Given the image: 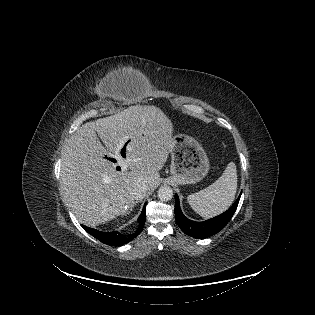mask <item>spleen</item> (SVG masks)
<instances>
[{
	"instance_id": "3e777b00",
	"label": "spleen",
	"mask_w": 315,
	"mask_h": 315,
	"mask_svg": "<svg viewBox=\"0 0 315 315\" xmlns=\"http://www.w3.org/2000/svg\"><path fill=\"white\" fill-rule=\"evenodd\" d=\"M237 190L236 165L230 162L213 184L187 197L192 209L203 218L214 217L227 210Z\"/></svg>"
}]
</instances>
